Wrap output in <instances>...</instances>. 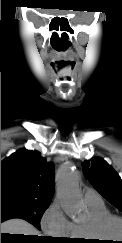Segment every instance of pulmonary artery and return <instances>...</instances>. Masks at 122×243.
<instances>
[{
	"instance_id": "obj_1",
	"label": "pulmonary artery",
	"mask_w": 122,
	"mask_h": 243,
	"mask_svg": "<svg viewBox=\"0 0 122 243\" xmlns=\"http://www.w3.org/2000/svg\"><path fill=\"white\" fill-rule=\"evenodd\" d=\"M84 201L86 203L100 202L101 197L96 190H94L92 188H85L84 189Z\"/></svg>"
}]
</instances>
